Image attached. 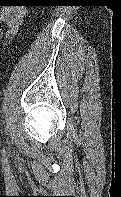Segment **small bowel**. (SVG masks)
<instances>
[{"label":"small bowel","instance_id":"small-bowel-1","mask_svg":"<svg viewBox=\"0 0 121 197\" xmlns=\"http://www.w3.org/2000/svg\"><path fill=\"white\" fill-rule=\"evenodd\" d=\"M0 22L7 26L6 38H13L24 23L26 12L22 5H1Z\"/></svg>","mask_w":121,"mask_h":197}]
</instances>
